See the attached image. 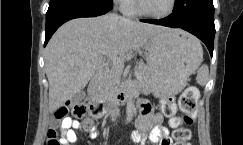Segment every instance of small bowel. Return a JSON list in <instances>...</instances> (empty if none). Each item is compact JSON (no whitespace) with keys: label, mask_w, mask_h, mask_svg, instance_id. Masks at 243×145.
Listing matches in <instances>:
<instances>
[{"label":"small bowel","mask_w":243,"mask_h":145,"mask_svg":"<svg viewBox=\"0 0 243 145\" xmlns=\"http://www.w3.org/2000/svg\"><path fill=\"white\" fill-rule=\"evenodd\" d=\"M139 110L140 115L136 123L138 131L131 134V140L141 145H147L149 142L155 145H172L169 130L162 125V115L155 113L151 105L147 102H141L139 104ZM84 123L91 125L88 130L90 137L96 138L97 131L93 127L90 118H86L83 122H80L71 117H66L62 120L60 128L56 129L57 134L60 136L61 145H70V143L76 142L77 134L74 129L82 128Z\"/></svg>","instance_id":"c3829d8e"}]
</instances>
